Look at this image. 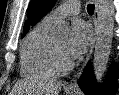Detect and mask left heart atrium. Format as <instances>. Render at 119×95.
Wrapping results in <instances>:
<instances>
[{
	"mask_svg": "<svg viewBox=\"0 0 119 95\" xmlns=\"http://www.w3.org/2000/svg\"><path fill=\"white\" fill-rule=\"evenodd\" d=\"M92 38L91 29L87 23L75 20L65 45V54L69 59L80 57L87 49Z\"/></svg>",
	"mask_w": 119,
	"mask_h": 95,
	"instance_id": "left-heart-atrium-1",
	"label": "left heart atrium"
}]
</instances>
